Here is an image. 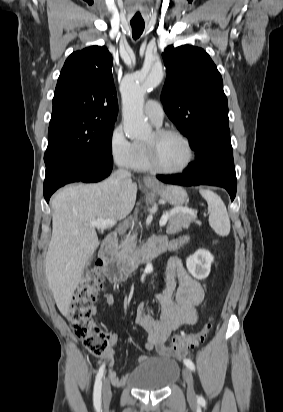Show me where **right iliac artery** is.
Listing matches in <instances>:
<instances>
[{"label":"right iliac artery","mask_w":283,"mask_h":412,"mask_svg":"<svg viewBox=\"0 0 283 412\" xmlns=\"http://www.w3.org/2000/svg\"><path fill=\"white\" fill-rule=\"evenodd\" d=\"M105 364H102L100 367L94 385L93 401L94 407L96 410H99L101 407V388H102V378L104 375Z\"/></svg>","instance_id":"82829eb1"}]
</instances>
